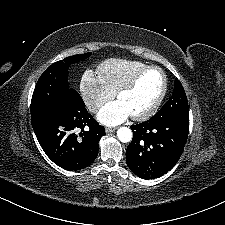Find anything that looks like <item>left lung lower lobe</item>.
Wrapping results in <instances>:
<instances>
[{
  "label": "left lung lower lobe",
  "instance_id": "0a47b994",
  "mask_svg": "<svg viewBox=\"0 0 225 225\" xmlns=\"http://www.w3.org/2000/svg\"><path fill=\"white\" fill-rule=\"evenodd\" d=\"M131 129L134 135L126 150L127 165L138 177L154 179L179 160L188 137L189 116L152 117Z\"/></svg>",
  "mask_w": 225,
  "mask_h": 225
}]
</instances>
